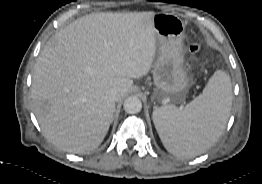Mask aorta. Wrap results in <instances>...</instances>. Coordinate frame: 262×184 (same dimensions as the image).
<instances>
[{"label":"aorta","instance_id":"762f6f07","mask_svg":"<svg viewBox=\"0 0 262 184\" xmlns=\"http://www.w3.org/2000/svg\"><path fill=\"white\" fill-rule=\"evenodd\" d=\"M123 108L127 113L135 114L141 111L142 102L136 96H130L124 101Z\"/></svg>","mask_w":262,"mask_h":184}]
</instances>
